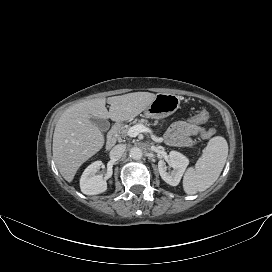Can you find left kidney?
Returning a JSON list of instances; mask_svg holds the SVG:
<instances>
[{
  "instance_id": "1",
  "label": "left kidney",
  "mask_w": 272,
  "mask_h": 272,
  "mask_svg": "<svg viewBox=\"0 0 272 272\" xmlns=\"http://www.w3.org/2000/svg\"><path fill=\"white\" fill-rule=\"evenodd\" d=\"M168 163L173 169L171 172H168L163 160L158 162L160 176L167 184L177 186L189 164V159L177 151H171L169 153Z\"/></svg>"
}]
</instances>
